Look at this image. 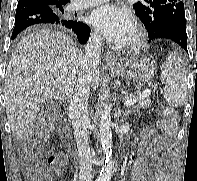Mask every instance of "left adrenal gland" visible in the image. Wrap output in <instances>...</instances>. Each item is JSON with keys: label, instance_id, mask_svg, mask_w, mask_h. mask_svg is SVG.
Segmentation results:
<instances>
[{"label": "left adrenal gland", "instance_id": "1", "mask_svg": "<svg viewBox=\"0 0 197 181\" xmlns=\"http://www.w3.org/2000/svg\"><path fill=\"white\" fill-rule=\"evenodd\" d=\"M131 110H125L123 111V116H128L129 114H131ZM121 115V111H119V116Z\"/></svg>", "mask_w": 197, "mask_h": 181}]
</instances>
